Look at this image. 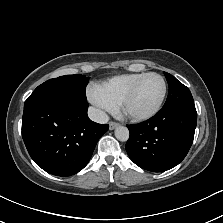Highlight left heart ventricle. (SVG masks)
<instances>
[{
	"label": "left heart ventricle",
	"instance_id": "left-heart-ventricle-1",
	"mask_svg": "<svg viewBox=\"0 0 223 223\" xmlns=\"http://www.w3.org/2000/svg\"><path fill=\"white\" fill-rule=\"evenodd\" d=\"M162 93V82L157 76L145 78L131 100L122 111L133 114H145L157 104Z\"/></svg>",
	"mask_w": 223,
	"mask_h": 223
}]
</instances>
